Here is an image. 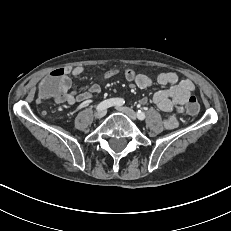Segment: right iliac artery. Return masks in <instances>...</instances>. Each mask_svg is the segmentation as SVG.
Segmentation results:
<instances>
[{"label":"right iliac artery","mask_w":231,"mask_h":231,"mask_svg":"<svg viewBox=\"0 0 231 231\" xmlns=\"http://www.w3.org/2000/svg\"><path fill=\"white\" fill-rule=\"evenodd\" d=\"M124 104V100L120 98H110L107 100L102 101L96 107L97 110H104L111 106H121Z\"/></svg>","instance_id":"right-iliac-artery-1"}]
</instances>
